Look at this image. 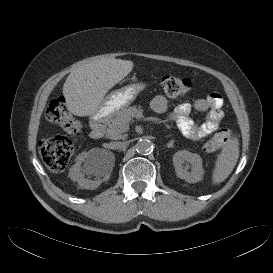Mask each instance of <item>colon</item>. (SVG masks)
I'll return each mask as SVG.
<instances>
[{
  "instance_id": "5ec220e1",
  "label": "colon",
  "mask_w": 273,
  "mask_h": 273,
  "mask_svg": "<svg viewBox=\"0 0 273 273\" xmlns=\"http://www.w3.org/2000/svg\"><path fill=\"white\" fill-rule=\"evenodd\" d=\"M190 87L191 81L188 78L165 76L160 80V89L170 98L185 95ZM46 115L49 121L60 125L71 134H78L81 131L80 123L69 114L64 97L51 100ZM229 138L230 132L227 129H221L206 141L204 150L207 152L220 150L227 144ZM73 150V142L64 136L45 138L39 142L40 156L53 172H61L66 168Z\"/></svg>"
}]
</instances>
